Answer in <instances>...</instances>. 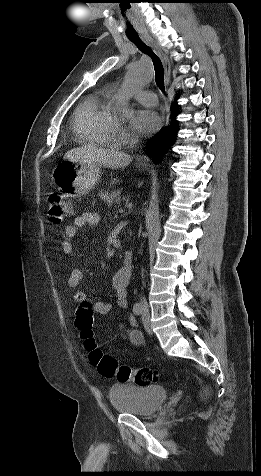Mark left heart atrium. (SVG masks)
<instances>
[{"instance_id":"obj_1","label":"left heart atrium","mask_w":261,"mask_h":476,"mask_svg":"<svg viewBox=\"0 0 261 476\" xmlns=\"http://www.w3.org/2000/svg\"><path fill=\"white\" fill-rule=\"evenodd\" d=\"M131 125L141 133H150L160 125V117L153 110L140 109L132 116Z\"/></svg>"}]
</instances>
